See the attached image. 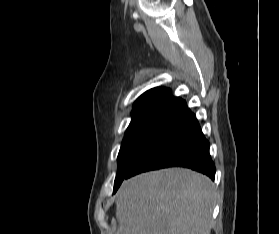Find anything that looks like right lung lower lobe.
Instances as JSON below:
<instances>
[{
    "instance_id": "1",
    "label": "right lung lower lobe",
    "mask_w": 279,
    "mask_h": 234,
    "mask_svg": "<svg viewBox=\"0 0 279 234\" xmlns=\"http://www.w3.org/2000/svg\"><path fill=\"white\" fill-rule=\"evenodd\" d=\"M187 167L215 177V166L195 115L184 100L172 108L131 162L124 179L166 167Z\"/></svg>"
}]
</instances>
